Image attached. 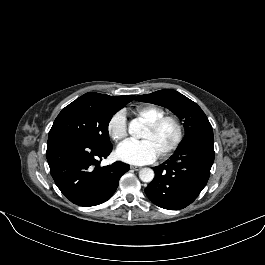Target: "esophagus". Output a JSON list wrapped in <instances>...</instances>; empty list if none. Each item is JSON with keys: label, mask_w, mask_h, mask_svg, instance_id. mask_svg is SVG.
I'll return each mask as SVG.
<instances>
[{"label": "esophagus", "mask_w": 265, "mask_h": 265, "mask_svg": "<svg viewBox=\"0 0 265 265\" xmlns=\"http://www.w3.org/2000/svg\"><path fill=\"white\" fill-rule=\"evenodd\" d=\"M130 168L133 169V170H135V171H138V170L141 169V166L131 165Z\"/></svg>", "instance_id": "esophagus-1"}]
</instances>
